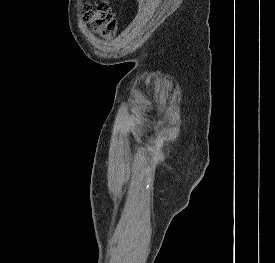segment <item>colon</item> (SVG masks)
<instances>
[{
    "mask_svg": "<svg viewBox=\"0 0 275 263\" xmlns=\"http://www.w3.org/2000/svg\"><path fill=\"white\" fill-rule=\"evenodd\" d=\"M85 21L89 24L90 30L101 38L111 36L116 26V19L108 0H101L93 7L88 6Z\"/></svg>",
    "mask_w": 275,
    "mask_h": 263,
    "instance_id": "5ec220e1",
    "label": "colon"
}]
</instances>
